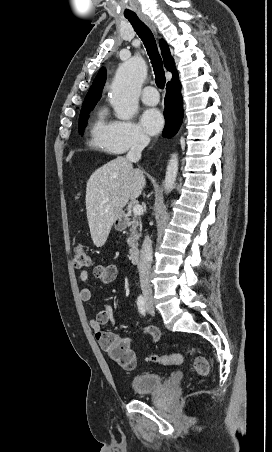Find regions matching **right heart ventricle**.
I'll list each match as a JSON object with an SVG mask.
<instances>
[{
  "label": "right heart ventricle",
  "instance_id": "e07e8e85",
  "mask_svg": "<svg viewBox=\"0 0 272 452\" xmlns=\"http://www.w3.org/2000/svg\"><path fill=\"white\" fill-rule=\"evenodd\" d=\"M113 122L107 119L106 111L100 110L91 124L89 142L91 146L114 152L109 144Z\"/></svg>",
  "mask_w": 272,
  "mask_h": 452
}]
</instances>
